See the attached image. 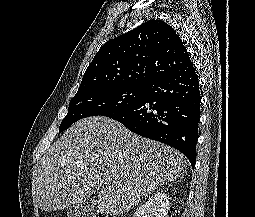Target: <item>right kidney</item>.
Segmentation results:
<instances>
[{
    "label": "right kidney",
    "mask_w": 255,
    "mask_h": 217,
    "mask_svg": "<svg viewBox=\"0 0 255 217\" xmlns=\"http://www.w3.org/2000/svg\"><path fill=\"white\" fill-rule=\"evenodd\" d=\"M170 198L164 192H156L136 209L135 217H166Z\"/></svg>",
    "instance_id": "right-kidney-1"
}]
</instances>
